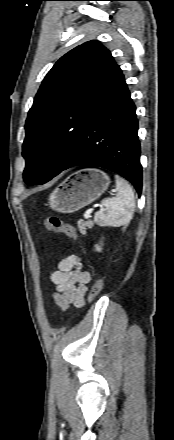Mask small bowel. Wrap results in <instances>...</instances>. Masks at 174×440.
Instances as JSON below:
<instances>
[{"label": "small bowel", "instance_id": "1", "mask_svg": "<svg viewBox=\"0 0 174 440\" xmlns=\"http://www.w3.org/2000/svg\"><path fill=\"white\" fill-rule=\"evenodd\" d=\"M50 279L56 286L54 301L63 311L71 306L83 307L91 276L84 269L80 255L71 254L61 259L57 268L50 271Z\"/></svg>", "mask_w": 174, "mask_h": 440}]
</instances>
